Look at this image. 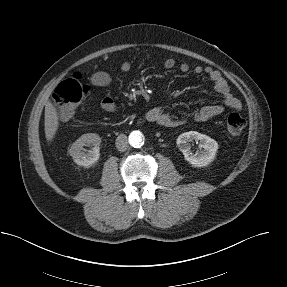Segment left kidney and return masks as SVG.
I'll list each match as a JSON object with an SVG mask.
<instances>
[{"label":"left kidney","instance_id":"obj_1","mask_svg":"<svg viewBox=\"0 0 287 287\" xmlns=\"http://www.w3.org/2000/svg\"><path fill=\"white\" fill-rule=\"evenodd\" d=\"M199 141L202 151L198 153L191 152V141ZM177 146L183 153L185 160L194 167H205L209 165L216 157L218 143L207 135L196 131L182 133L177 138Z\"/></svg>","mask_w":287,"mask_h":287}]
</instances>
